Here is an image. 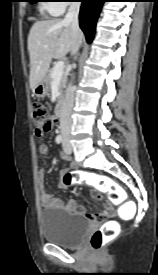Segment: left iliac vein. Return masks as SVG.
Returning <instances> with one entry per match:
<instances>
[{"instance_id":"left-iliac-vein-1","label":"left iliac vein","mask_w":158,"mask_h":275,"mask_svg":"<svg viewBox=\"0 0 158 275\" xmlns=\"http://www.w3.org/2000/svg\"><path fill=\"white\" fill-rule=\"evenodd\" d=\"M63 151L66 155H70L72 153V147H71L68 139H65L63 141Z\"/></svg>"}]
</instances>
